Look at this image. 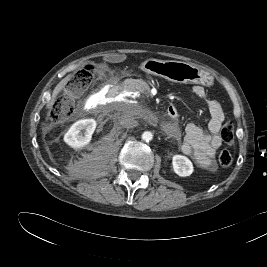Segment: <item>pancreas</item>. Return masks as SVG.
<instances>
[{
    "instance_id": "cf45deb5",
    "label": "pancreas",
    "mask_w": 267,
    "mask_h": 267,
    "mask_svg": "<svg viewBox=\"0 0 267 267\" xmlns=\"http://www.w3.org/2000/svg\"><path fill=\"white\" fill-rule=\"evenodd\" d=\"M127 87L130 91H139L142 93H148L149 92V88L146 85V83L143 81H140V80L129 81Z\"/></svg>"
}]
</instances>
